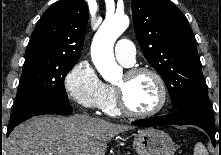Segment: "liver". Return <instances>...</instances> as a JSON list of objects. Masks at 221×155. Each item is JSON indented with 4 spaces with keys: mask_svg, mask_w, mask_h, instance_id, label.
Here are the masks:
<instances>
[{
    "mask_svg": "<svg viewBox=\"0 0 221 155\" xmlns=\"http://www.w3.org/2000/svg\"><path fill=\"white\" fill-rule=\"evenodd\" d=\"M133 126L76 114L63 118L39 116L10 134L6 155H105L107 142Z\"/></svg>",
    "mask_w": 221,
    "mask_h": 155,
    "instance_id": "6515ba94",
    "label": "liver"
}]
</instances>
